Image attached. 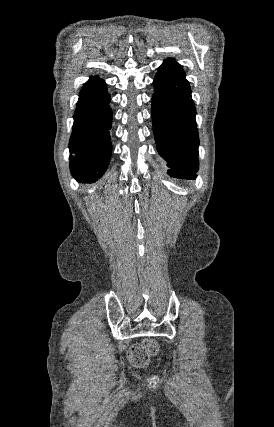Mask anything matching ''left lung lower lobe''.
<instances>
[{
    "label": "left lung lower lobe",
    "instance_id": "obj_1",
    "mask_svg": "<svg viewBox=\"0 0 274 427\" xmlns=\"http://www.w3.org/2000/svg\"><path fill=\"white\" fill-rule=\"evenodd\" d=\"M153 132L157 150L168 162L171 177L195 179L198 170V131L189 82L181 66L168 59L153 82Z\"/></svg>",
    "mask_w": 274,
    "mask_h": 427
}]
</instances>
